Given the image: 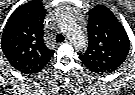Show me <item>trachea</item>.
<instances>
[{
  "instance_id": "3493384b",
  "label": "trachea",
  "mask_w": 135,
  "mask_h": 95,
  "mask_svg": "<svg viewBox=\"0 0 135 95\" xmlns=\"http://www.w3.org/2000/svg\"><path fill=\"white\" fill-rule=\"evenodd\" d=\"M64 36L62 35V34H58L57 36H56V41L57 42H63L64 41Z\"/></svg>"
}]
</instances>
